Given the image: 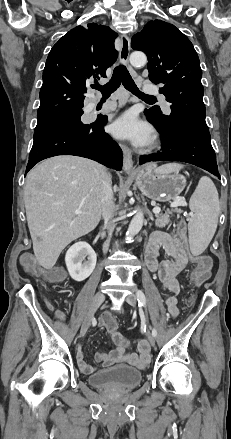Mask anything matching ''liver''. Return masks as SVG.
I'll use <instances>...</instances> for the list:
<instances>
[{
  "mask_svg": "<svg viewBox=\"0 0 231 439\" xmlns=\"http://www.w3.org/2000/svg\"><path fill=\"white\" fill-rule=\"evenodd\" d=\"M107 174L99 163L72 155L48 158L28 173L26 216L33 251L43 268L50 270L68 244L96 228ZM79 208L81 213L75 214Z\"/></svg>",
  "mask_w": 231,
  "mask_h": 439,
  "instance_id": "1",
  "label": "liver"
}]
</instances>
